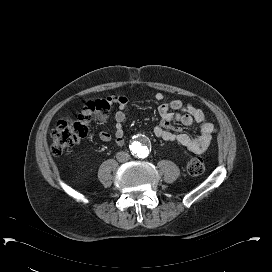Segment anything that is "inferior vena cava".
Segmentation results:
<instances>
[{"instance_id":"obj_1","label":"inferior vena cava","mask_w":272,"mask_h":272,"mask_svg":"<svg viewBox=\"0 0 272 272\" xmlns=\"http://www.w3.org/2000/svg\"><path fill=\"white\" fill-rule=\"evenodd\" d=\"M116 158L119 162H126L129 160L130 155L124 151H120L116 154Z\"/></svg>"}]
</instances>
